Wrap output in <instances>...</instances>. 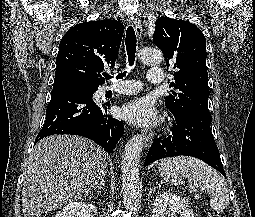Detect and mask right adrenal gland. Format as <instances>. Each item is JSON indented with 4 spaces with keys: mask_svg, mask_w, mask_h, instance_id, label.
I'll use <instances>...</instances> for the list:
<instances>
[{
    "mask_svg": "<svg viewBox=\"0 0 255 217\" xmlns=\"http://www.w3.org/2000/svg\"><path fill=\"white\" fill-rule=\"evenodd\" d=\"M103 187V188H105V179H104V177L100 180V183H99V185L97 186V188H100V187Z\"/></svg>",
    "mask_w": 255,
    "mask_h": 217,
    "instance_id": "1",
    "label": "right adrenal gland"
}]
</instances>
